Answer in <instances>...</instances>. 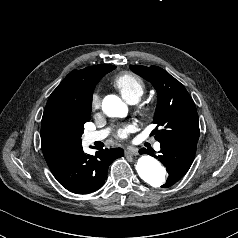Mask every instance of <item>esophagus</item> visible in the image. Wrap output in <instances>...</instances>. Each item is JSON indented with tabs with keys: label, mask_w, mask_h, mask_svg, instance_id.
<instances>
[{
	"label": "esophagus",
	"mask_w": 238,
	"mask_h": 238,
	"mask_svg": "<svg viewBox=\"0 0 238 238\" xmlns=\"http://www.w3.org/2000/svg\"><path fill=\"white\" fill-rule=\"evenodd\" d=\"M125 154L128 156H136L138 154V150L136 148L133 147H128L125 150Z\"/></svg>",
	"instance_id": "obj_1"
}]
</instances>
